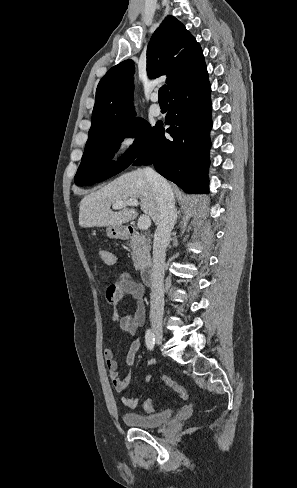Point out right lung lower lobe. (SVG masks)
I'll list each match as a JSON object with an SVG mask.
<instances>
[{
  "label": "right lung lower lobe",
  "mask_w": 297,
  "mask_h": 488,
  "mask_svg": "<svg viewBox=\"0 0 297 488\" xmlns=\"http://www.w3.org/2000/svg\"><path fill=\"white\" fill-rule=\"evenodd\" d=\"M208 75L184 86L169 99L166 132L158 127L149 145L132 163L153 164L156 171L188 193H207L211 122Z\"/></svg>",
  "instance_id": "98d812e1"
}]
</instances>
